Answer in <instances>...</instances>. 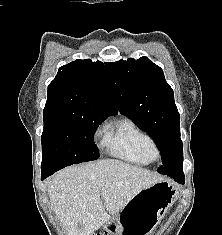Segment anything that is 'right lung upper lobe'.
<instances>
[{
	"label": "right lung upper lobe",
	"mask_w": 222,
	"mask_h": 235,
	"mask_svg": "<svg viewBox=\"0 0 222 235\" xmlns=\"http://www.w3.org/2000/svg\"><path fill=\"white\" fill-rule=\"evenodd\" d=\"M83 111L105 116L118 113L105 65L90 59L76 60L59 68L48 86L44 114Z\"/></svg>",
	"instance_id": "right-lung-upper-lobe-1"
}]
</instances>
